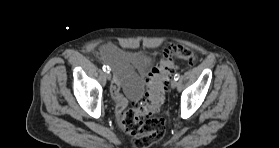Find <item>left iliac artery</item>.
<instances>
[{
    "mask_svg": "<svg viewBox=\"0 0 279 148\" xmlns=\"http://www.w3.org/2000/svg\"><path fill=\"white\" fill-rule=\"evenodd\" d=\"M179 78H180V74L176 73V74L174 75V79L177 81Z\"/></svg>",
    "mask_w": 279,
    "mask_h": 148,
    "instance_id": "44dca946",
    "label": "left iliac artery"
}]
</instances>
